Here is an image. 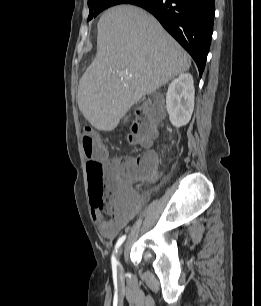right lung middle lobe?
Here are the masks:
<instances>
[{
    "label": "right lung middle lobe",
    "instance_id": "right-lung-middle-lobe-1",
    "mask_svg": "<svg viewBox=\"0 0 261 306\" xmlns=\"http://www.w3.org/2000/svg\"><path fill=\"white\" fill-rule=\"evenodd\" d=\"M132 1L133 0H88L90 10L88 21L111 6L122 3H131Z\"/></svg>",
    "mask_w": 261,
    "mask_h": 306
}]
</instances>
